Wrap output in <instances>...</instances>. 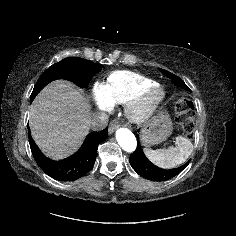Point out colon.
<instances>
[{"label": "colon", "instance_id": "1", "mask_svg": "<svg viewBox=\"0 0 236 236\" xmlns=\"http://www.w3.org/2000/svg\"><path fill=\"white\" fill-rule=\"evenodd\" d=\"M176 118L183 130L191 134L193 131V107L187 98H179L175 104Z\"/></svg>", "mask_w": 236, "mask_h": 236}]
</instances>
